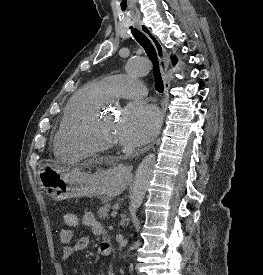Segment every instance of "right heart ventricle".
<instances>
[{
	"mask_svg": "<svg viewBox=\"0 0 263 275\" xmlns=\"http://www.w3.org/2000/svg\"><path fill=\"white\" fill-rule=\"evenodd\" d=\"M109 99L100 83H89L67 103L55 137L58 154L70 159H82L93 154L81 147L73 138L74 130L82 121L103 106Z\"/></svg>",
	"mask_w": 263,
	"mask_h": 275,
	"instance_id": "right-heart-ventricle-1",
	"label": "right heart ventricle"
}]
</instances>
